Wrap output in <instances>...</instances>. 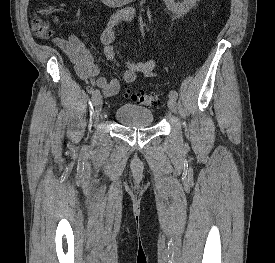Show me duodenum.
Returning <instances> with one entry per match:
<instances>
[{
  "instance_id": "obj_1",
  "label": "duodenum",
  "mask_w": 275,
  "mask_h": 263,
  "mask_svg": "<svg viewBox=\"0 0 275 263\" xmlns=\"http://www.w3.org/2000/svg\"><path fill=\"white\" fill-rule=\"evenodd\" d=\"M102 3L109 7L121 6L132 2L133 0H101Z\"/></svg>"
}]
</instances>
